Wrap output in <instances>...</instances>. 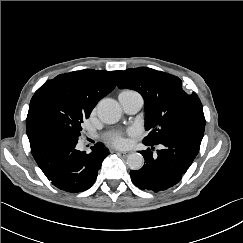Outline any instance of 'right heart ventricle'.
Wrapping results in <instances>:
<instances>
[{
	"instance_id": "obj_1",
	"label": "right heart ventricle",
	"mask_w": 243,
	"mask_h": 243,
	"mask_svg": "<svg viewBox=\"0 0 243 243\" xmlns=\"http://www.w3.org/2000/svg\"><path fill=\"white\" fill-rule=\"evenodd\" d=\"M135 95H139L140 94L134 90H130V89H126L120 92L119 94V99L122 97H129V96H135Z\"/></svg>"
}]
</instances>
